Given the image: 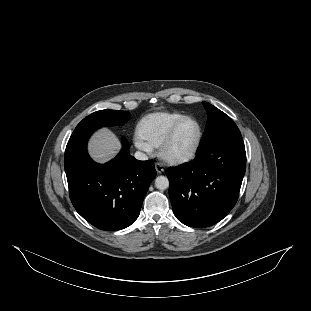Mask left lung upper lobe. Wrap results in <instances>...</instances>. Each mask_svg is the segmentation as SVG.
I'll use <instances>...</instances> for the list:
<instances>
[{
	"label": "left lung upper lobe",
	"mask_w": 311,
	"mask_h": 311,
	"mask_svg": "<svg viewBox=\"0 0 311 311\" xmlns=\"http://www.w3.org/2000/svg\"><path fill=\"white\" fill-rule=\"evenodd\" d=\"M202 104L208 113V122L199 148L220 137L230 134H241L236 124L224 112L207 102H203Z\"/></svg>",
	"instance_id": "obj_1"
}]
</instances>
